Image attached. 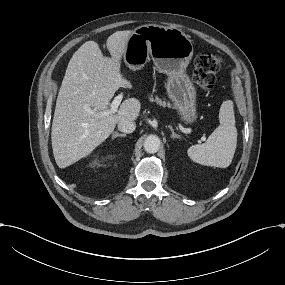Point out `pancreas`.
I'll return each mask as SVG.
<instances>
[{
	"instance_id": "1",
	"label": "pancreas",
	"mask_w": 285,
	"mask_h": 285,
	"mask_svg": "<svg viewBox=\"0 0 285 285\" xmlns=\"http://www.w3.org/2000/svg\"><path fill=\"white\" fill-rule=\"evenodd\" d=\"M159 104H162L164 107L166 106V103L165 102L162 103L161 100H159Z\"/></svg>"
}]
</instances>
